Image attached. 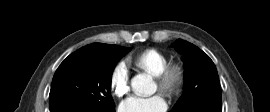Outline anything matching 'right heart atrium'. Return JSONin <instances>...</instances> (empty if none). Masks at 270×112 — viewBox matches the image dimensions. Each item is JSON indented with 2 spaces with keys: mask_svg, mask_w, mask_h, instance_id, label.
Returning <instances> with one entry per match:
<instances>
[{
  "mask_svg": "<svg viewBox=\"0 0 270 112\" xmlns=\"http://www.w3.org/2000/svg\"><path fill=\"white\" fill-rule=\"evenodd\" d=\"M109 86L113 96L121 98L129 92V71L125 63H117L111 70Z\"/></svg>",
  "mask_w": 270,
  "mask_h": 112,
  "instance_id": "obj_1",
  "label": "right heart atrium"
}]
</instances>
